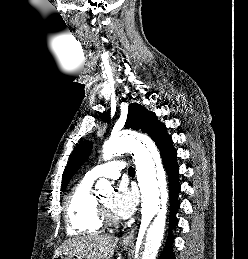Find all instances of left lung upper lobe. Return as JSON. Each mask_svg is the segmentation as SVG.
Masks as SVG:
<instances>
[{"label":"left lung upper lobe","mask_w":248,"mask_h":259,"mask_svg":"<svg viewBox=\"0 0 248 259\" xmlns=\"http://www.w3.org/2000/svg\"><path fill=\"white\" fill-rule=\"evenodd\" d=\"M126 128L141 130L151 136L157 147L172 140L166 133V127L156 119L155 113L147 111L143 106L132 103L129 106L128 116L125 123ZM92 149V142L84 141L77 145L67 164L62 178V191L64 192L71 177L80 166L87 160Z\"/></svg>","instance_id":"5c2ea615"}]
</instances>
